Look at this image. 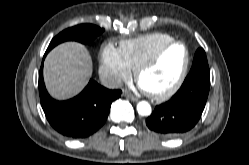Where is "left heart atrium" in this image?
Listing matches in <instances>:
<instances>
[{
  "label": "left heart atrium",
  "mask_w": 249,
  "mask_h": 165,
  "mask_svg": "<svg viewBox=\"0 0 249 165\" xmlns=\"http://www.w3.org/2000/svg\"><path fill=\"white\" fill-rule=\"evenodd\" d=\"M138 87H139L140 89H142V90H145L144 87H143L140 83H138Z\"/></svg>",
  "instance_id": "obj_1"
}]
</instances>
